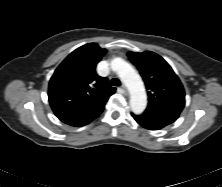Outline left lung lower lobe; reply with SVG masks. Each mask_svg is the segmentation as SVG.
I'll return each instance as SVG.
<instances>
[{
    "instance_id": "1",
    "label": "left lung lower lobe",
    "mask_w": 222,
    "mask_h": 187,
    "mask_svg": "<svg viewBox=\"0 0 222 187\" xmlns=\"http://www.w3.org/2000/svg\"><path fill=\"white\" fill-rule=\"evenodd\" d=\"M181 111L172 109H151L147 108L141 115L132 113V117L142 127L149 130H159L174 122Z\"/></svg>"
}]
</instances>
